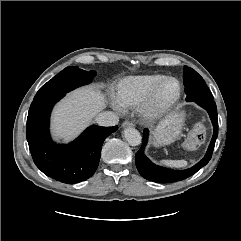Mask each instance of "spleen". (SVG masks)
I'll use <instances>...</instances> for the list:
<instances>
[{
    "instance_id": "3e777b00",
    "label": "spleen",
    "mask_w": 241,
    "mask_h": 241,
    "mask_svg": "<svg viewBox=\"0 0 241 241\" xmlns=\"http://www.w3.org/2000/svg\"><path fill=\"white\" fill-rule=\"evenodd\" d=\"M161 163L175 168H182L187 166L186 160H163Z\"/></svg>"
}]
</instances>
